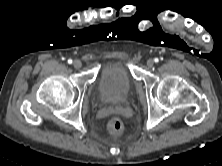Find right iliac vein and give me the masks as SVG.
<instances>
[{"label": "right iliac vein", "mask_w": 222, "mask_h": 166, "mask_svg": "<svg viewBox=\"0 0 222 166\" xmlns=\"http://www.w3.org/2000/svg\"><path fill=\"white\" fill-rule=\"evenodd\" d=\"M73 66H74V68L79 69V68H81L82 63H81L80 60H75V61L73 62Z\"/></svg>", "instance_id": "right-iliac-vein-1"}]
</instances>
